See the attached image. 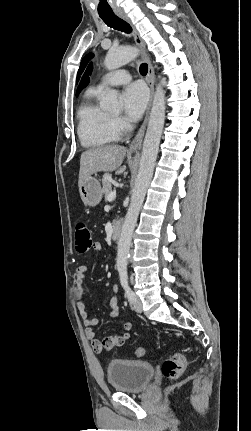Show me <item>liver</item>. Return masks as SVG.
Masks as SVG:
<instances>
[{"instance_id": "6515ba94", "label": "liver", "mask_w": 251, "mask_h": 431, "mask_svg": "<svg viewBox=\"0 0 251 431\" xmlns=\"http://www.w3.org/2000/svg\"><path fill=\"white\" fill-rule=\"evenodd\" d=\"M126 151L127 149L120 145H105L83 152L80 158L79 187L97 172L123 173L125 168H121V164Z\"/></svg>"}]
</instances>
